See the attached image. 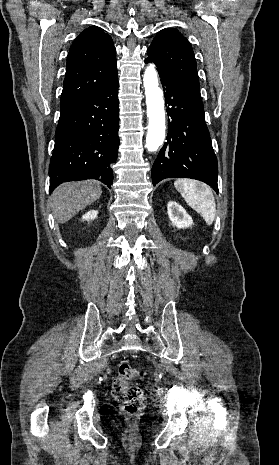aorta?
Wrapping results in <instances>:
<instances>
[{"instance_id":"762f6f07","label":"aorta","mask_w":279,"mask_h":465,"mask_svg":"<svg viewBox=\"0 0 279 465\" xmlns=\"http://www.w3.org/2000/svg\"><path fill=\"white\" fill-rule=\"evenodd\" d=\"M143 84L149 119L146 148L149 152H154L164 142L165 111L163 93L159 87L157 71L153 64L147 66L143 77Z\"/></svg>"}]
</instances>
